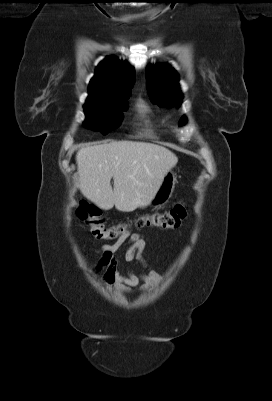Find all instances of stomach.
<instances>
[{"mask_svg":"<svg viewBox=\"0 0 272 401\" xmlns=\"http://www.w3.org/2000/svg\"><path fill=\"white\" fill-rule=\"evenodd\" d=\"M176 183L175 174L169 171L163 178L162 183L156 192L154 198L151 200L150 205L154 207H161L168 202Z\"/></svg>","mask_w":272,"mask_h":401,"instance_id":"stomach-1","label":"stomach"}]
</instances>
